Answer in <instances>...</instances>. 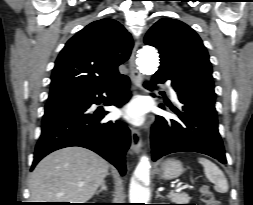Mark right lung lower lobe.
Wrapping results in <instances>:
<instances>
[{"instance_id":"1","label":"right lung lower lobe","mask_w":253,"mask_h":205,"mask_svg":"<svg viewBox=\"0 0 253 205\" xmlns=\"http://www.w3.org/2000/svg\"><path fill=\"white\" fill-rule=\"evenodd\" d=\"M129 83V78L123 75L101 89L48 101L31 169L43 157L57 149L80 146L98 153L124 175L125 154L130 146V130L120 121L100 123L108 112L92 113L88 109L92 104L103 101V93L109 96L106 105L121 107L130 99Z\"/></svg>"}]
</instances>
